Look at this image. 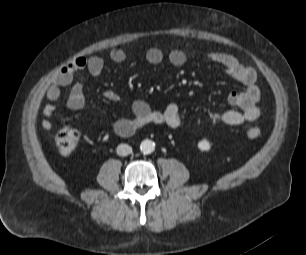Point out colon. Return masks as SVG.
Wrapping results in <instances>:
<instances>
[{"label":"colon","instance_id":"colon-1","mask_svg":"<svg viewBox=\"0 0 306 255\" xmlns=\"http://www.w3.org/2000/svg\"><path fill=\"white\" fill-rule=\"evenodd\" d=\"M261 134L258 127H251L247 131L249 138H257ZM79 141V133L77 130L64 127L55 136V144L60 154L67 156L70 155L76 148Z\"/></svg>","mask_w":306,"mask_h":255}]
</instances>
